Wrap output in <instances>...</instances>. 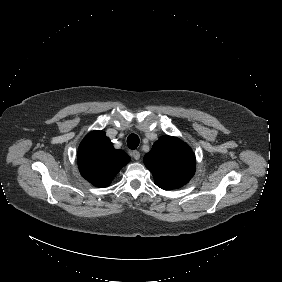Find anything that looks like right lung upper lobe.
I'll return each instance as SVG.
<instances>
[{
	"instance_id": "right-lung-upper-lobe-1",
	"label": "right lung upper lobe",
	"mask_w": 282,
	"mask_h": 282,
	"mask_svg": "<svg viewBox=\"0 0 282 282\" xmlns=\"http://www.w3.org/2000/svg\"><path fill=\"white\" fill-rule=\"evenodd\" d=\"M81 175L96 187H107L130 157L114 149L104 131H92L85 136L78 149Z\"/></svg>"
}]
</instances>
